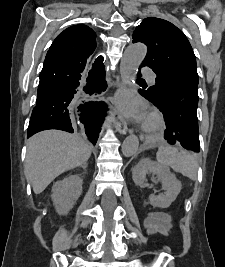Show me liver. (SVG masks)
<instances>
[{
	"mask_svg": "<svg viewBox=\"0 0 225 267\" xmlns=\"http://www.w3.org/2000/svg\"><path fill=\"white\" fill-rule=\"evenodd\" d=\"M90 156V145L78 134L43 131L28 140L24 173L34 193L40 194L56 177L84 165Z\"/></svg>",
	"mask_w": 225,
	"mask_h": 267,
	"instance_id": "liver-1",
	"label": "liver"
}]
</instances>
